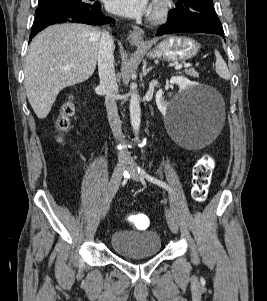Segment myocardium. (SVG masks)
<instances>
[{"label":"myocardium","instance_id":"1","mask_svg":"<svg viewBox=\"0 0 267 301\" xmlns=\"http://www.w3.org/2000/svg\"><path fill=\"white\" fill-rule=\"evenodd\" d=\"M174 7L173 0H154L149 20L154 23L163 22Z\"/></svg>","mask_w":267,"mask_h":301}]
</instances>
